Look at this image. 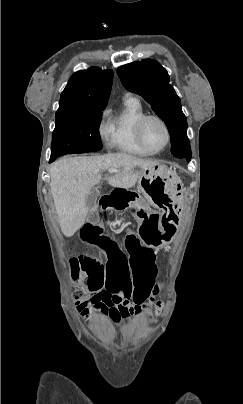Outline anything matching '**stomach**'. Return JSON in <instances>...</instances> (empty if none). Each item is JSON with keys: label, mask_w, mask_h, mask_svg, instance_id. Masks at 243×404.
Instances as JSON below:
<instances>
[{"label": "stomach", "mask_w": 243, "mask_h": 404, "mask_svg": "<svg viewBox=\"0 0 243 404\" xmlns=\"http://www.w3.org/2000/svg\"><path fill=\"white\" fill-rule=\"evenodd\" d=\"M138 190L143 197L130 203L138 222V236L149 248L162 247L178 229L183 184L174 171L156 163L142 171Z\"/></svg>", "instance_id": "0dacf381"}]
</instances>
